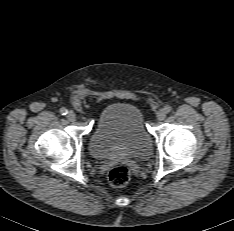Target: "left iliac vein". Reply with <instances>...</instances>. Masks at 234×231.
I'll use <instances>...</instances> for the list:
<instances>
[{"instance_id": "obj_1", "label": "left iliac vein", "mask_w": 234, "mask_h": 231, "mask_svg": "<svg viewBox=\"0 0 234 231\" xmlns=\"http://www.w3.org/2000/svg\"><path fill=\"white\" fill-rule=\"evenodd\" d=\"M165 117H166V112H165V110H160V111L157 113V119H158L159 121L164 120Z\"/></svg>"}]
</instances>
